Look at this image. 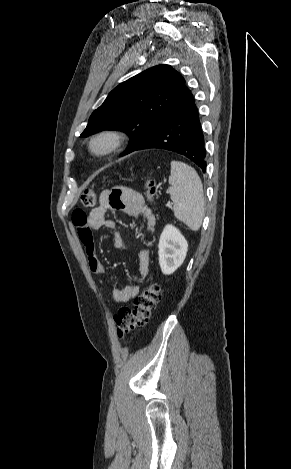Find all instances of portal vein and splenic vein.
<instances>
[{
  "mask_svg": "<svg viewBox=\"0 0 291 469\" xmlns=\"http://www.w3.org/2000/svg\"><path fill=\"white\" fill-rule=\"evenodd\" d=\"M167 206H169V207H170V206H171V204L169 203V204H167Z\"/></svg>",
  "mask_w": 291,
  "mask_h": 469,
  "instance_id": "18ae733b",
  "label": "portal vein and splenic vein"
}]
</instances>
